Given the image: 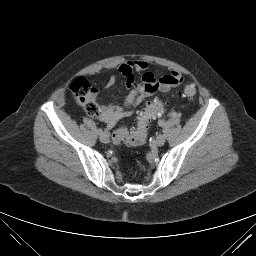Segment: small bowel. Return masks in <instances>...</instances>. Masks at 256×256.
<instances>
[{
  "label": "small bowel",
  "instance_id": "obj_1",
  "mask_svg": "<svg viewBox=\"0 0 256 256\" xmlns=\"http://www.w3.org/2000/svg\"><path fill=\"white\" fill-rule=\"evenodd\" d=\"M119 73L124 78L127 89L123 106L105 105L101 107L100 119L109 128H113L121 119L131 116V109L141 104L147 97L158 91L168 92L183 82V76L177 71H171L160 78H156L149 71L148 64L143 60L122 63L119 66ZM136 73L141 75L139 82L135 78ZM115 82V77H111L106 88L112 87Z\"/></svg>",
  "mask_w": 256,
  "mask_h": 256
}]
</instances>
